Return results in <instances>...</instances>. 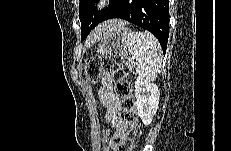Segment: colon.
<instances>
[{"mask_svg":"<svg viewBox=\"0 0 231 151\" xmlns=\"http://www.w3.org/2000/svg\"><path fill=\"white\" fill-rule=\"evenodd\" d=\"M103 74L111 76L114 82L115 95L121 99V106L125 118L133 130L131 134L123 137L114 149L115 151H132L138 137V131L136 129L138 115L135 100L132 97V85L126 79L123 67L115 59L105 56H94L86 61L85 76L89 82H96ZM107 140L108 133L103 129L104 143H106Z\"/></svg>","mask_w":231,"mask_h":151,"instance_id":"5ec220e1","label":"colon"}]
</instances>
